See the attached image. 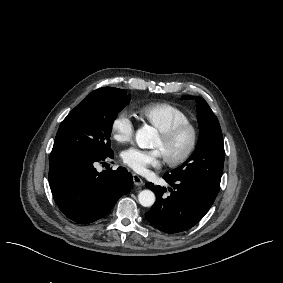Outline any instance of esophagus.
I'll return each mask as SVG.
<instances>
[{
	"mask_svg": "<svg viewBox=\"0 0 283 283\" xmlns=\"http://www.w3.org/2000/svg\"><path fill=\"white\" fill-rule=\"evenodd\" d=\"M133 183L137 186H142L144 184V181L140 178L139 175L133 173Z\"/></svg>",
	"mask_w": 283,
	"mask_h": 283,
	"instance_id": "obj_1",
	"label": "esophagus"
}]
</instances>
